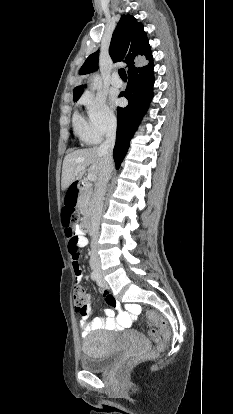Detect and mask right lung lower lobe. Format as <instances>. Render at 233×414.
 Wrapping results in <instances>:
<instances>
[{"instance_id": "right-lung-lower-lobe-1", "label": "right lung lower lobe", "mask_w": 233, "mask_h": 414, "mask_svg": "<svg viewBox=\"0 0 233 414\" xmlns=\"http://www.w3.org/2000/svg\"><path fill=\"white\" fill-rule=\"evenodd\" d=\"M153 69L154 65L143 72L129 76L127 88L120 94L128 99L129 104L125 108H117V134L113 151L116 169H119L130 140L153 97Z\"/></svg>"}]
</instances>
